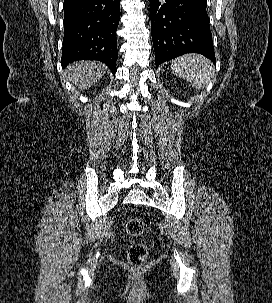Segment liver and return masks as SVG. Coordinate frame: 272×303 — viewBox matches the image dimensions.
I'll list each match as a JSON object with an SVG mask.
<instances>
[{
  "label": "liver",
  "mask_w": 272,
  "mask_h": 303,
  "mask_svg": "<svg viewBox=\"0 0 272 303\" xmlns=\"http://www.w3.org/2000/svg\"><path fill=\"white\" fill-rule=\"evenodd\" d=\"M107 67L98 61H77L69 65L66 72L69 80L81 90L90 88L105 74Z\"/></svg>",
  "instance_id": "obj_1"
}]
</instances>
